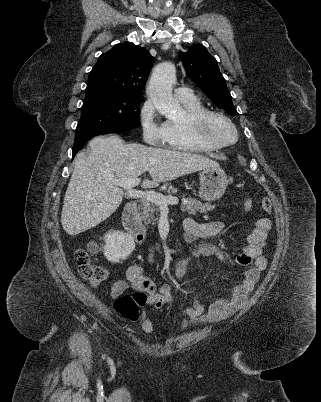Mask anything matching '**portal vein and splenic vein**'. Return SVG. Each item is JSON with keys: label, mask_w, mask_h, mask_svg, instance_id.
<instances>
[{"label": "portal vein and splenic vein", "mask_w": 321, "mask_h": 402, "mask_svg": "<svg viewBox=\"0 0 321 402\" xmlns=\"http://www.w3.org/2000/svg\"><path fill=\"white\" fill-rule=\"evenodd\" d=\"M141 180L137 177L135 178H123L114 180L113 183L124 188L131 198H145L160 207H168L169 204H177L178 198L173 196H164L160 193L154 191H141L134 189L135 186L139 185Z\"/></svg>", "instance_id": "1"}]
</instances>
